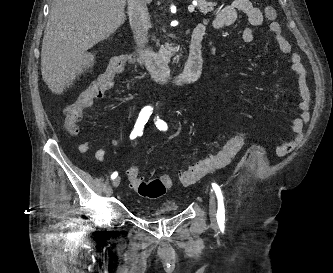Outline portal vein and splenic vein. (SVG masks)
Here are the masks:
<instances>
[{"label": "portal vein and splenic vein", "mask_w": 333, "mask_h": 273, "mask_svg": "<svg viewBox=\"0 0 333 273\" xmlns=\"http://www.w3.org/2000/svg\"><path fill=\"white\" fill-rule=\"evenodd\" d=\"M188 10H189V12H193V11H194V5H190V6L188 7Z\"/></svg>", "instance_id": "obj_1"}]
</instances>
